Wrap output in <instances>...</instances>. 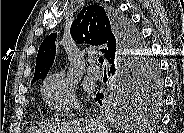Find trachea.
<instances>
[{"mask_svg":"<svg viewBox=\"0 0 184 133\" xmlns=\"http://www.w3.org/2000/svg\"><path fill=\"white\" fill-rule=\"evenodd\" d=\"M98 61H99L100 64H103V62H104L103 57H99Z\"/></svg>","mask_w":184,"mask_h":133,"instance_id":"3493384b","label":"trachea"}]
</instances>
